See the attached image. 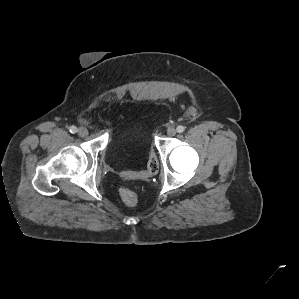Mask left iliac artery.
Masks as SVG:
<instances>
[{
	"instance_id": "44dca946",
	"label": "left iliac artery",
	"mask_w": 299,
	"mask_h": 299,
	"mask_svg": "<svg viewBox=\"0 0 299 299\" xmlns=\"http://www.w3.org/2000/svg\"><path fill=\"white\" fill-rule=\"evenodd\" d=\"M184 130H185V127L182 126V125H179V126L177 127V132H178V133H183Z\"/></svg>"
}]
</instances>
